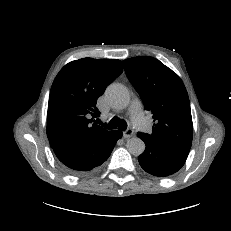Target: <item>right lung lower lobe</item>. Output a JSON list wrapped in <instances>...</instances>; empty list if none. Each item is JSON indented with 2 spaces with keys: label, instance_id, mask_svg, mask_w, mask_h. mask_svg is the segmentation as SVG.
Returning <instances> with one entry per match:
<instances>
[{
  "label": "right lung lower lobe",
  "instance_id": "1",
  "mask_svg": "<svg viewBox=\"0 0 231 231\" xmlns=\"http://www.w3.org/2000/svg\"><path fill=\"white\" fill-rule=\"evenodd\" d=\"M121 131H109L90 142L54 146L53 151L71 174H82L100 166L110 156Z\"/></svg>",
  "mask_w": 231,
  "mask_h": 231
}]
</instances>
